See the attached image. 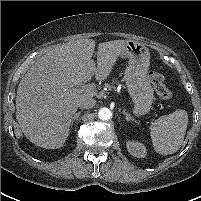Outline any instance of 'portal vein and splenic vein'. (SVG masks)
<instances>
[{
	"instance_id": "portal-vein-and-splenic-vein-1",
	"label": "portal vein and splenic vein",
	"mask_w": 201,
	"mask_h": 201,
	"mask_svg": "<svg viewBox=\"0 0 201 201\" xmlns=\"http://www.w3.org/2000/svg\"><path fill=\"white\" fill-rule=\"evenodd\" d=\"M94 84H85L82 85L77 91H92L94 89Z\"/></svg>"
}]
</instances>
